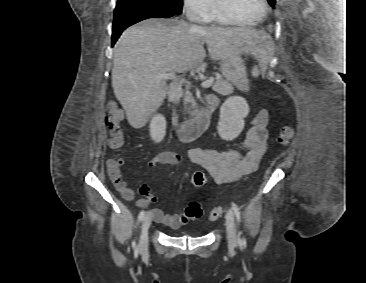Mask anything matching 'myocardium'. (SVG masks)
Returning a JSON list of instances; mask_svg holds the SVG:
<instances>
[{"label": "myocardium", "mask_w": 366, "mask_h": 283, "mask_svg": "<svg viewBox=\"0 0 366 283\" xmlns=\"http://www.w3.org/2000/svg\"><path fill=\"white\" fill-rule=\"evenodd\" d=\"M264 11L260 17H258L253 22H244L240 20L236 15L233 13L229 0H214V5L217 10V12L227 21H229L232 24H236L239 26L244 27H251L259 24L261 21H263L269 12V5L267 0H262Z\"/></svg>", "instance_id": "obj_1"}]
</instances>
